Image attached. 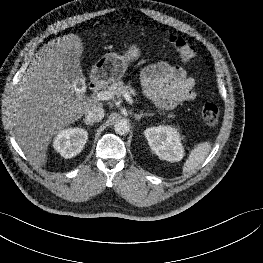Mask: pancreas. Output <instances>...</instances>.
Returning <instances> with one entry per match:
<instances>
[{
  "label": "pancreas",
  "instance_id": "cf45deb5",
  "mask_svg": "<svg viewBox=\"0 0 263 263\" xmlns=\"http://www.w3.org/2000/svg\"><path fill=\"white\" fill-rule=\"evenodd\" d=\"M107 88L118 97L123 96L125 93L129 95H136V91L132 87L125 85L123 81L112 82V84L107 86Z\"/></svg>",
  "mask_w": 263,
  "mask_h": 263
}]
</instances>
